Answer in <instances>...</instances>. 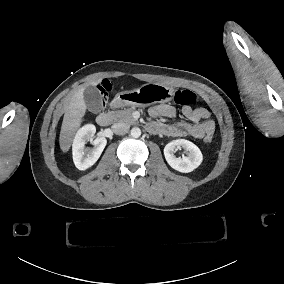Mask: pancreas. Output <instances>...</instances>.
Returning a JSON list of instances; mask_svg holds the SVG:
<instances>
[{
    "instance_id": "pancreas-1",
    "label": "pancreas",
    "mask_w": 284,
    "mask_h": 284,
    "mask_svg": "<svg viewBox=\"0 0 284 284\" xmlns=\"http://www.w3.org/2000/svg\"><path fill=\"white\" fill-rule=\"evenodd\" d=\"M134 112V108H128L124 110L110 111L115 121H122L129 125H135L138 121L133 117L132 113Z\"/></svg>"
}]
</instances>
